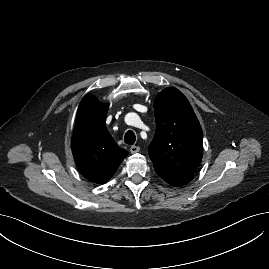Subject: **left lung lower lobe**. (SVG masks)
<instances>
[{"mask_svg": "<svg viewBox=\"0 0 269 269\" xmlns=\"http://www.w3.org/2000/svg\"><path fill=\"white\" fill-rule=\"evenodd\" d=\"M155 171L163 180H165L167 183L175 187L187 184L194 177L193 174L188 173H175L159 169H155Z\"/></svg>", "mask_w": 269, "mask_h": 269, "instance_id": "left-lung-lower-lobe-1", "label": "left lung lower lobe"}]
</instances>
